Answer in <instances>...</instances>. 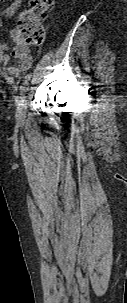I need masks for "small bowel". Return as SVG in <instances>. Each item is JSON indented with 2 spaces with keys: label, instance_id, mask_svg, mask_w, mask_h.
I'll list each match as a JSON object with an SVG mask.
<instances>
[{
  "label": "small bowel",
  "instance_id": "c3829d8e",
  "mask_svg": "<svg viewBox=\"0 0 127 303\" xmlns=\"http://www.w3.org/2000/svg\"><path fill=\"white\" fill-rule=\"evenodd\" d=\"M23 2L24 0H13L10 5L1 11L0 28L4 27L3 20L12 17L20 9ZM0 59L7 66L8 74L15 77L29 70L33 63L28 47L17 45L10 51L9 44L4 41L0 42ZM13 60L15 63L11 64Z\"/></svg>",
  "mask_w": 127,
  "mask_h": 303
}]
</instances>
